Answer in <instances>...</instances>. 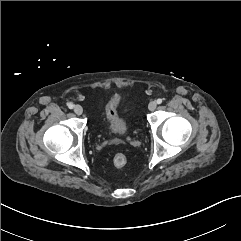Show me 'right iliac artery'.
Returning a JSON list of instances; mask_svg holds the SVG:
<instances>
[{
  "mask_svg": "<svg viewBox=\"0 0 241 241\" xmlns=\"http://www.w3.org/2000/svg\"><path fill=\"white\" fill-rule=\"evenodd\" d=\"M68 108H69V109H73V108H74V105H73L72 103H69V104H68Z\"/></svg>",
  "mask_w": 241,
  "mask_h": 241,
  "instance_id": "82829eb1",
  "label": "right iliac artery"
}]
</instances>
